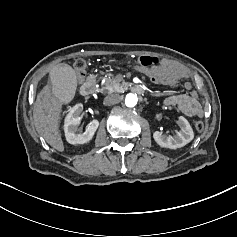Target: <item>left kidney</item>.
<instances>
[{"mask_svg": "<svg viewBox=\"0 0 237 237\" xmlns=\"http://www.w3.org/2000/svg\"><path fill=\"white\" fill-rule=\"evenodd\" d=\"M177 124L180 127V131L174 136L155 131L153 137L156 143L164 148L177 149L185 146L191 140H193L194 132L188 120L183 116H180Z\"/></svg>", "mask_w": 237, "mask_h": 237, "instance_id": "left-kidney-1", "label": "left kidney"}]
</instances>
